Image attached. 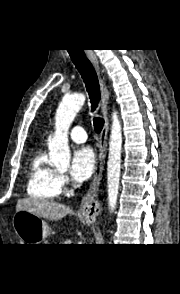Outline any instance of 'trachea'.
<instances>
[{"label": "trachea", "mask_w": 180, "mask_h": 294, "mask_svg": "<svg viewBox=\"0 0 180 294\" xmlns=\"http://www.w3.org/2000/svg\"><path fill=\"white\" fill-rule=\"evenodd\" d=\"M68 53L83 78L91 102V111L94 112L100 101V88L93 65L82 49L68 50ZM93 124L95 132L100 133L104 126V119L94 117Z\"/></svg>", "instance_id": "3493384b"}]
</instances>
